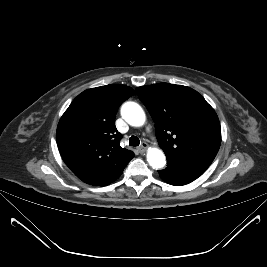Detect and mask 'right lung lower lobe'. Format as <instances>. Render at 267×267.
I'll return each instance as SVG.
<instances>
[{"mask_svg": "<svg viewBox=\"0 0 267 267\" xmlns=\"http://www.w3.org/2000/svg\"><path fill=\"white\" fill-rule=\"evenodd\" d=\"M123 171H121L119 174H117L114 178H112L111 180L105 182L104 184H102V186H106V185H109L110 183H112L113 181H115L116 179H118L121 174H122Z\"/></svg>", "mask_w": 267, "mask_h": 267, "instance_id": "98d812e1", "label": "right lung lower lobe"}]
</instances>
